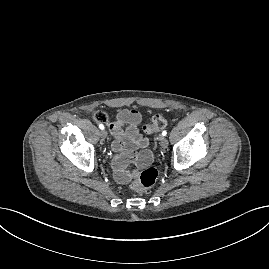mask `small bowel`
Instances as JSON below:
<instances>
[{"label":"small bowel","mask_w":269,"mask_h":269,"mask_svg":"<svg viewBox=\"0 0 269 269\" xmlns=\"http://www.w3.org/2000/svg\"><path fill=\"white\" fill-rule=\"evenodd\" d=\"M141 121L142 116L137 110L122 109L118 111L116 120L109 126L113 137L112 149L116 153L112 166L118 183L130 182L138 176V169L151 163L150 151L143 150L135 154L137 149H145L149 144L147 138L139 133ZM129 165H134L136 169H129Z\"/></svg>","instance_id":"obj_1"}]
</instances>
